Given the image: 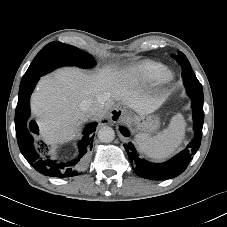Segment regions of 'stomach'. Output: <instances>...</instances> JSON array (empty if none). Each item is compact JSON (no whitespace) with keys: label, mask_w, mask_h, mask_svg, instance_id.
Returning <instances> with one entry per match:
<instances>
[{"label":"stomach","mask_w":227,"mask_h":227,"mask_svg":"<svg viewBox=\"0 0 227 227\" xmlns=\"http://www.w3.org/2000/svg\"><path fill=\"white\" fill-rule=\"evenodd\" d=\"M130 122L139 135L146 136L155 133L160 126L159 117L154 114L133 115L130 117Z\"/></svg>","instance_id":"0dacf381"}]
</instances>
